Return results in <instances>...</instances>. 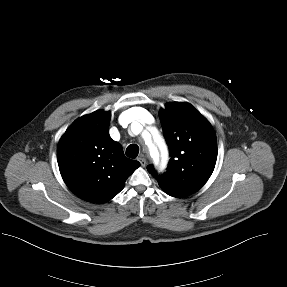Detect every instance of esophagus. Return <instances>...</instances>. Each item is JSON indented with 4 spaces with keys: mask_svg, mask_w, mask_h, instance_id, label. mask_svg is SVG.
I'll return each mask as SVG.
<instances>
[{
    "mask_svg": "<svg viewBox=\"0 0 287 287\" xmlns=\"http://www.w3.org/2000/svg\"><path fill=\"white\" fill-rule=\"evenodd\" d=\"M138 160H139V162H140V164H141L142 167H145V166H146L147 161H146L144 155L141 154V155L139 156Z\"/></svg>",
    "mask_w": 287,
    "mask_h": 287,
    "instance_id": "esophagus-1",
    "label": "esophagus"
}]
</instances>
